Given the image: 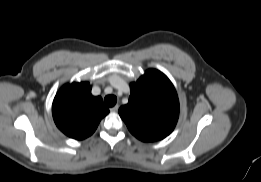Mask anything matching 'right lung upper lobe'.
I'll return each mask as SVG.
<instances>
[{"label":"right lung upper lobe","mask_w":261,"mask_h":182,"mask_svg":"<svg viewBox=\"0 0 261 182\" xmlns=\"http://www.w3.org/2000/svg\"><path fill=\"white\" fill-rule=\"evenodd\" d=\"M109 113L100 96L91 94L88 82L63 86L56 94L52 114L57 127L67 136L82 140L92 135Z\"/></svg>","instance_id":"right-lung-upper-lobe-1"}]
</instances>
